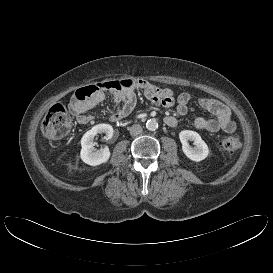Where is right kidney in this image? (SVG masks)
Listing matches in <instances>:
<instances>
[{
	"label": "right kidney",
	"mask_w": 273,
	"mask_h": 273,
	"mask_svg": "<svg viewBox=\"0 0 273 273\" xmlns=\"http://www.w3.org/2000/svg\"><path fill=\"white\" fill-rule=\"evenodd\" d=\"M98 133H105V139L109 140L112 138L114 130L109 124H98L95 125L91 130L87 131L81 139V152L80 157L83 162L91 166H97L102 163H106L110 158L109 148L96 149L94 138Z\"/></svg>",
	"instance_id": "obj_1"
}]
</instances>
